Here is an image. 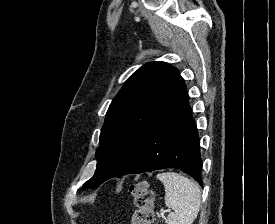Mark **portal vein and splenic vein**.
I'll list each match as a JSON object with an SVG mask.
<instances>
[{
  "label": "portal vein and splenic vein",
  "instance_id": "obj_1",
  "mask_svg": "<svg viewBox=\"0 0 275 224\" xmlns=\"http://www.w3.org/2000/svg\"><path fill=\"white\" fill-rule=\"evenodd\" d=\"M166 211H162L161 214L163 215Z\"/></svg>",
  "mask_w": 275,
  "mask_h": 224
}]
</instances>
